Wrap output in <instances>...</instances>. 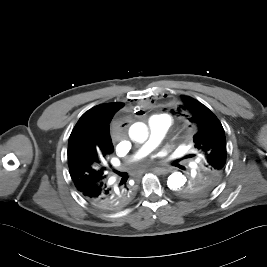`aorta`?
<instances>
[{
	"mask_svg": "<svg viewBox=\"0 0 267 267\" xmlns=\"http://www.w3.org/2000/svg\"><path fill=\"white\" fill-rule=\"evenodd\" d=\"M129 135L137 142H144L148 138V130L144 123H134L129 129ZM186 183V177L181 172L172 173L167 180V186L171 190H178Z\"/></svg>",
	"mask_w": 267,
	"mask_h": 267,
	"instance_id": "aorta-1",
	"label": "aorta"
}]
</instances>
